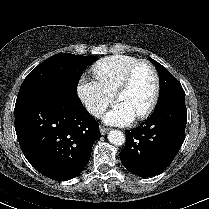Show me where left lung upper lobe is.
<instances>
[{
	"instance_id": "1",
	"label": "left lung upper lobe",
	"mask_w": 209,
	"mask_h": 209,
	"mask_svg": "<svg viewBox=\"0 0 209 209\" xmlns=\"http://www.w3.org/2000/svg\"><path fill=\"white\" fill-rule=\"evenodd\" d=\"M159 73L160 93L158 102L170 97L185 96V92L177 79L160 63L151 59ZM157 102V103H158Z\"/></svg>"
}]
</instances>
